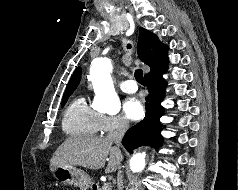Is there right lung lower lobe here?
Masks as SVG:
<instances>
[{
  "mask_svg": "<svg viewBox=\"0 0 238 190\" xmlns=\"http://www.w3.org/2000/svg\"><path fill=\"white\" fill-rule=\"evenodd\" d=\"M167 67L168 65L145 77L149 91V95L146 97V116L143 121L130 128L122 140L123 146L130 153L141 145H149L157 149L162 144L160 117L164 114V108L161 106V102L165 97L167 85L162 75Z\"/></svg>",
  "mask_w": 238,
  "mask_h": 190,
  "instance_id": "1",
  "label": "right lung lower lobe"
}]
</instances>
